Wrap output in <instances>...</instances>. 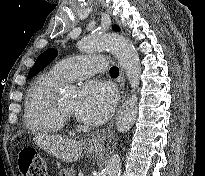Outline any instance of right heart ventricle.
<instances>
[{
  "instance_id": "1",
  "label": "right heart ventricle",
  "mask_w": 205,
  "mask_h": 176,
  "mask_svg": "<svg viewBox=\"0 0 205 176\" xmlns=\"http://www.w3.org/2000/svg\"><path fill=\"white\" fill-rule=\"evenodd\" d=\"M64 83L52 71L39 75L32 82L25 97V124L33 133H61L64 119L57 112L54 94Z\"/></svg>"
}]
</instances>
